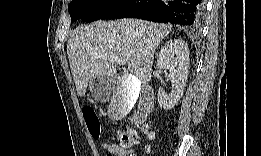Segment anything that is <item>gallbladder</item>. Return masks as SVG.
<instances>
[{
	"label": "gallbladder",
	"mask_w": 261,
	"mask_h": 156,
	"mask_svg": "<svg viewBox=\"0 0 261 156\" xmlns=\"http://www.w3.org/2000/svg\"><path fill=\"white\" fill-rule=\"evenodd\" d=\"M124 74L118 80L117 83H120V85L117 88L119 89H115L114 96H112L114 98H111L112 101L107 107L110 110L108 117L112 118L110 120H124L122 118H126L127 114L134 108V104L140 95L141 80H139V77L129 73Z\"/></svg>",
	"instance_id": "bac80fb5"
}]
</instances>
